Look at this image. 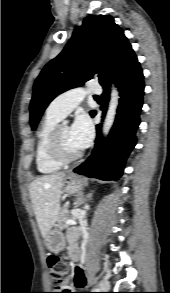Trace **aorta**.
Wrapping results in <instances>:
<instances>
[{"label":"aorta","mask_w":170,"mask_h":293,"mask_svg":"<svg viewBox=\"0 0 170 293\" xmlns=\"http://www.w3.org/2000/svg\"><path fill=\"white\" fill-rule=\"evenodd\" d=\"M118 104H119V92L117 88L112 86L109 107H108V111L104 120L103 129H102L104 136H106L109 133L114 123Z\"/></svg>","instance_id":"aorta-1"}]
</instances>
